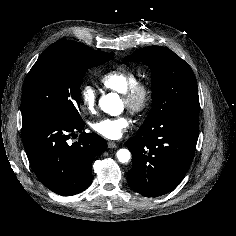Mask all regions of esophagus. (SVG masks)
<instances>
[{
    "mask_svg": "<svg viewBox=\"0 0 236 236\" xmlns=\"http://www.w3.org/2000/svg\"><path fill=\"white\" fill-rule=\"evenodd\" d=\"M117 147V144L113 141H109L108 142V148H116Z\"/></svg>",
    "mask_w": 236,
    "mask_h": 236,
    "instance_id": "obj_1",
    "label": "esophagus"
}]
</instances>
